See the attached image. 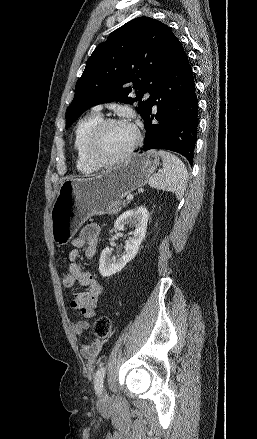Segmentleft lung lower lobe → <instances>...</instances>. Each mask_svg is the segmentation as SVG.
I'll return each instance as SVG.
<instances>
[{"label": "left lung lower lobe", "instance_id": "left-lung-lower-lobe-1", "mask_svg": "<svg viewBox=\"0 0 257 439\" xmlns=\"http://www.w3.org/2000/svg\"><path fill=\"white\" fill-rule=\"evenodd\" d=\"M151 98V109L143 119L146 133L140 151L171 150L182 154L192 165L197 140L198 100L192 69L179 41ZM155 105L157 111L153 114ZM154 118L157 122H153Z\"/></svg>", "mask_w": 257, "mask_h": 439}]
</instances>
